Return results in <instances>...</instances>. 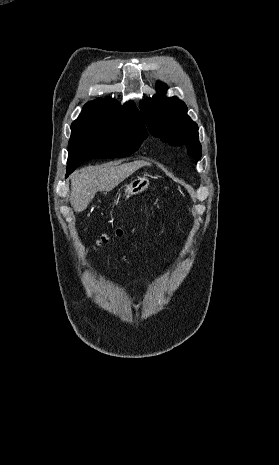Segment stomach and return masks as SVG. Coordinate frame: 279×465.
<instances>
[{"instance_id":"stomach-1","label":"stomach","mask_w":279,"mask_h":465,"mask_svg":"<svg viewBox=\"0 0 279 465\" xmlns=\"http://www.w3.org/2000/svg\"><path fill=\"white\" fill-rule=\"evenodd\" d=\"M150 185V181L147 176H138L129 184L124 186L123 196L129 198L131 195H136L146 190Z\"/></svg>"}]
</instances>
